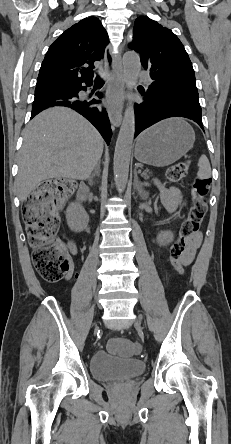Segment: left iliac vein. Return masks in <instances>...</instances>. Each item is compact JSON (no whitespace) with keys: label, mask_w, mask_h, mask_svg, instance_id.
<instances>
[{"label":"left iliac vein","mask_w":231,"mask_h":444,"mask_svg":"<svg viewBox=\"0 0 231 444\" xmlns=\"http://www.w3.org/2000/svg\"><path fill=\"white\" fill-rule=\"evenodd\" d=\"M141 323H142V322H141V318L138 317L137 320H136V325H137V326H141Z\"/></svg>","instance_id":"left-iliac-vein-1"}]
</instances>
